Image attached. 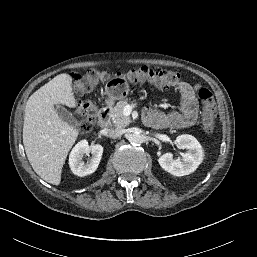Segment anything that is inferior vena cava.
I'll return each mask as SVG.
<instances>
[{
	"instance_id": "602c4592",
	"label": "inferior vena cava",
	"mask_w": 257,
	"mask_h": 257,
	"mask_svg": "<svg viewBox=\"0 0 257 257\" xmlns=\"http://www.w3.org/2000/svg\"><path fill=\"white\" fill-rule=\"evenodd\" d=\"M122 134L120 129H107L106 130V135L110 138H118Z\"/></svg>"
}]
</instances>
